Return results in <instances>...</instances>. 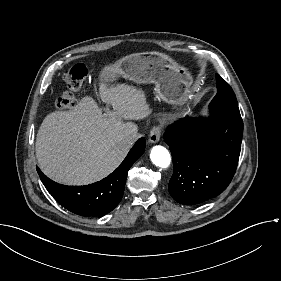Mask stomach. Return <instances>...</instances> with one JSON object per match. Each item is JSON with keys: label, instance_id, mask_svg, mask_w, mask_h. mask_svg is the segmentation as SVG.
<instances>
[{"label": "stomach", "instance_id": "stomach-1", "mask_svg": "<svg viewBox=\"0 0 281 281\" xmlns=\"http://www.w3.org/2000/svg\"><path fill=\"white\" fill-rule=\"evenodd\" d=\"M120 76L137 84H155L157 97L168 104L182 106L191 98V73L165 53L153 51L125 56L101 71L99 84L114 87Z\"/></svg>", "mask_w": 281, "mask_h": 281}]
</instances>
